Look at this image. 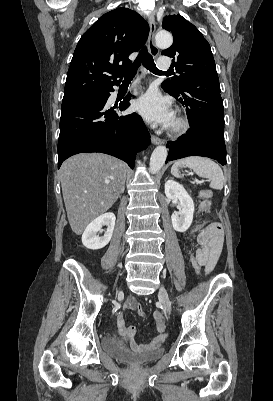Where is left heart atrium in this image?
Wrapping results in <instances>:
<instances>
[{
    "label": "left heart atrium",
    "instance_id": "left-heart-atrium-1",
    "mask_svg": "<svg viewBox=\"0 0 273 401\" xmlns=\"http://www.w3.org/2000/svg\"><path fill=\"white\" fill-rule=\"evenodd\" d=\"M138 112L150 124L169 127L174 122V113L170 103L157 93H147L141 96L136 104Z\"/></svg>",
    "mask_w": 273,
    "mask_h": 401
}]
</instances>
